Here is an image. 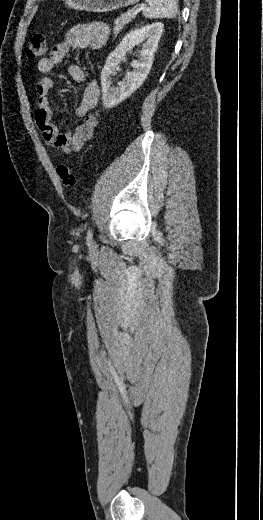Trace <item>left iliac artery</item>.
<instances>
[{
  "mask_svg": "<svg viewBox=\"0 0 263 520\" xmlns=\"http://www.w3.org/2000/svg\"><path fill=\"white\" fill-rule=\"evenodd\" d=\"M92 238H93L92 231L89 229L87 232V243L89 246L92 244Z\"/></svg>",
  "mask_w": 263,
  "mask_h": 520,
  "instance_id": "obj_1",
  "label": "left iliac artery"
}]
</instances>
